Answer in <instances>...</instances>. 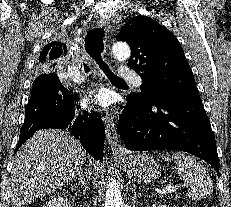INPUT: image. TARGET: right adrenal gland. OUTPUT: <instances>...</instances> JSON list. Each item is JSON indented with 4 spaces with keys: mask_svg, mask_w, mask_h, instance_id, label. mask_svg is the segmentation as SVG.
I'll return each instance as SVG.
<instances>
[{
    "mask_svg": "<svg viewBox=\"0 0 231 207\" xmlns=\"http://www.w3.org/2000/svg\"><path fill=\"white\" fill-rule=\"evenodd\" d=\"M77 175V182L74 185H81L83 192L85 193L86 190H89V183L86 181V176L83 174V170H80Z\"/></svg>",
    "mask_w": 231,
    "mask_h": 207,
    "instance_id": "2a0ac1e0",
    "label": "right adrenal gland"
}]
</instances>
